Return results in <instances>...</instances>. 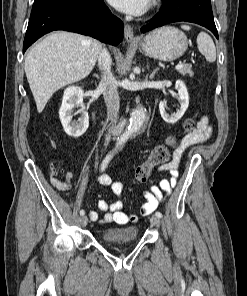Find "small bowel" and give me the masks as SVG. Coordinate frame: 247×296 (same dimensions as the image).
Returning a JSON list of instances; mask_svg holds the SVG:
<instances>
[{
    "mask_svg": "<svg viewBox=\"0 0 247 296\" xmlns=\"http://www.w3.org/2000/svg\"><path fill=\"white\" fill-rule=\"evenodd\" d=\"M211 132V126L207 117H202L198 123L197 129L192 133L184 137L181 146L176 150L173 159L162 167L163 170L170 173L171 178L169 180L164 179L159 182L158 185H152L149 191L144 192L145 203L142 206L141 212L144 215L151 214L159 202L163 198V192L166 195H170L172 188L176 184L177 167L182 155V152L189 146L205 141ZM74 178V173L68 171L65 173L64 180L51 178V184L53 187L61 191H68L71 188V182ZM98 184L109 186L113 194L120 197L123 193V185L120 182L113 181L108 174H100L96 177ZM99 210L105 212L102 218H99L98 213L95 210L89 211L88 215L92 221H99L102 224H119L125 225L137 220L135 215H129L124 212V205L121 201L117 200L111 203L105 200H99L97 203Z\"/></svg>",
    "mask_w": 247,
    "mask_h": 296,
    "instance_id": "c3829d8e",
    "label": "small bowel"
}]
</instances>
